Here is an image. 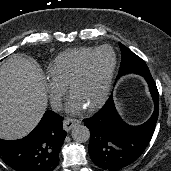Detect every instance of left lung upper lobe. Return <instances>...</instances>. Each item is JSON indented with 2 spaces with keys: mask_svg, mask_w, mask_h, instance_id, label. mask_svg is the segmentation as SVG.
Here are the masks:
<instances>
[{
  "mask_svg": "<svg viewBox=\"0 0 171 171\" xmlns=\"http://www.w3.org/2000/svg\"><path fill=\"white\" fill-rule=\"evenodd\" d=\"M121 49V66L117 78L127 73H135L143 76L145 79L151 76L146 63L130 49L119 43Z\"/></svg>",
  "mask_w": 171,
  "mask_h": 171,
  "instance_id": "1",
  "label": "left lung upper lobe"
}]
</instances>
